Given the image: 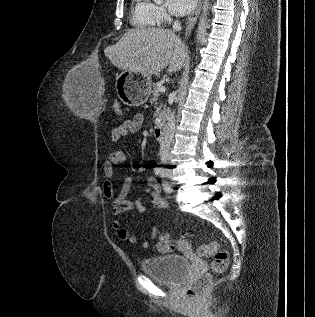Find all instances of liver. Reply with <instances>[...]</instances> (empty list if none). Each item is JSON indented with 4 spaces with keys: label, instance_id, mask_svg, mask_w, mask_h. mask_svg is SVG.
<instances>
[{
    "label": "liver",
    "instance_id": "6515ba94",
    "mask_svg": "<svg viewBox=\"0 0 315 317\" xmlns=\"http://www.w3.org/2000/svg\"><path fill=\"white\" fill-rule=\"evenodd\" d=\"M104 53L118 69L148 76L157 75L166 67L169 73L180 70L188 55L174 31L160 27L129 30Z\"/></svg>",
    "mask_w": 315,
    "mask_h": 317
}]
</instances>
